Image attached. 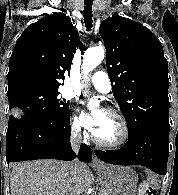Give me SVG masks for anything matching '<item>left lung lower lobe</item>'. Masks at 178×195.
I'll return each mask as SVG.
<instances>
[{"mask_svg":"<svg viewBox=\"0 0 178 195\" xmlns=\"http://www.w3.org/2000/svg\"><path fill=\"white\" fill-rule=\"evenodd\" d=\"M170 127L148 126L129 135L128 142L119 150L95 151L96 156L116 165H142L164 175L169 156Z\"/></svg>","mask_w":178,"mask_h":195,"instance_id":"obj_1","label":"left lung lower lobe"}]
</instances>
